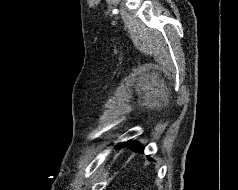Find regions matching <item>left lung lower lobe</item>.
Masks as SVG:
<instances>
[{
    "label": "left lung lower lobe",
    "instance_id": "1",
    "mask_svg": "<svg viewBox=\"0 0 238 190\" xmlns=\"http://www.w3.org/2000/svg\"><path fill=\"white\" fill-rule=\"evenodd\" d=\"M119 147H125V146H133L135 147L136 151L137 152H143L144 148L141 144H139L138 142H135V141H128V142H123V143H120L118 144Z\"/></svg>",
    "mask_w": 238,
    "mask_h": 190
}]
</instances>
